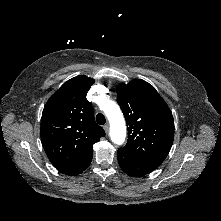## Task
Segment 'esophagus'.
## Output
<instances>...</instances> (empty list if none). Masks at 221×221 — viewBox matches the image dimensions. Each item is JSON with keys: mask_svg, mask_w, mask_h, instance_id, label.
Segmentation results:
<instances>
[{"mask_svg": "<svg viewBox=\"0 0 221 221\" xmlns=\"http://www.w3.org/2000/svg\"><path fill=\"white\" fill-rule=\"evenodd\" d=\"M103 128H104V130H105L106 133L109 132V124L104 125Z\"/></svg>", "mask_w": 221, "mask_h": 221, "instance_id": "esophagus-1", "label": "esophagus"}]
</instances>
